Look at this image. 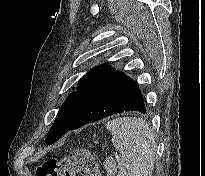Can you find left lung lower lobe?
Masks as SVG:
<instances>
[{
    "instance_id": "left-lung-lower-lobe-1",
    "label": "left lung lower lobe",
    "mask_w": 205,
    "mask_h": 176,
    "mask_svg": "<svg viewBox=\"0 0 205 176\" xmlns=\"http://www.w3.org/2000/svg\"><path fill=\"white\" fill-rule=\"evenodd\" d=\"M127 111L146 113L143 96L134 80L116 71L95 93L81 102L67 131Z\"/></svg>"
}]
</instances>
